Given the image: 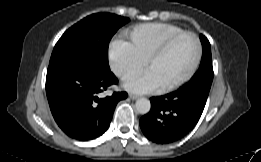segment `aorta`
<instances>
[{
  "instance_id": "762f6f07",
  "label": "aorta",
  "mask_w": 261,
  "mask_h": 162,
  "mask_svg": "<svg viewBox=\"0 0 261 162\" xmlns=\"http://www.w3.org/2000/svg\"><path fill=\"white\" fill-rule=\"evenodd\" d=\"M135 108L138 113L144 115L150 111L151 103L147 98H139L136 100Z\"/></svg>"
}]
</instances>
